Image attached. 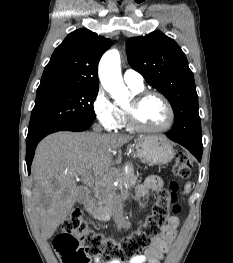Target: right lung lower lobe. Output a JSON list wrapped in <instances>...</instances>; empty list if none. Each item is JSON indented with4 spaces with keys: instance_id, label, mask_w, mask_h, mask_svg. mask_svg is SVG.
Returning a JSON list of instances; mask_svg holds the SVG:
<instances>
[{
    "instance_id": "obj_1",
    "label": "right lung lower lobe",
    "mask_w": 233,
    "mask_h": 263,
    "mask_svg": "<svg viewBox=\"0 0 233 263\" xmlns=\"http://www.w3.org/2000/svg\"><path fill=\"white\" fill-rule=\"evenodd\" d=\"M91 124L92 122H82V123L59 125L53 128L46 129L32 138H27L26 139V163H27L28 173L30 174V167H31V163L34 157L36 146L42 138H44L48 134H51L57 131H84V130H87L91 126Z\"/></svg>"
}]
</instances>
